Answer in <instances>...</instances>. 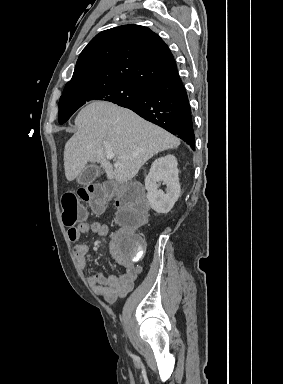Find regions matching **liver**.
<instances>
[{
	"label": "liver",
	"instance_id": "1",
	"mask_svg": "<svg viewBox=\"0 0 283 384\" xmlns=\"http://www.w3.org/2000/svg\"><path fill=\"white\" fill-rule=\"evenodd\" d=\"M75 126L78 130L64 150L68 182L80 176L88 162L101 164L108 180L128 182L155 154L180 146L179 138L163 128L146 122L131 110L101 100L82 108ZM106 152L116 154L119 166L113 168L105 158Z\"/></svg>",
	"mask_w": 283,
	"mask_h": 384
}]
</instances>
